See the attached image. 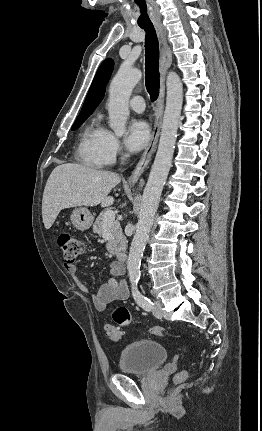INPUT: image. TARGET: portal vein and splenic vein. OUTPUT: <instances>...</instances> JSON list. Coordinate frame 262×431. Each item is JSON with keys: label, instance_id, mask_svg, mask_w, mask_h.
Returning a JSON list of instances; mask_svg holds the SVG:
<instances>
[{"label": "portal vein and splenic vein", "instance_id": "18ae733b", "mask_svg": "<svg viewBox=\"0 0 262 431\" xmlns=\"http://www.w3.org/2000/svg\"><path fill=\"white\" fill-rule=\"evenodd\" d=\"M115 220V213L111 210L104 214V225L111 224Z\"/></svg>", "mask_w": 262, "mask_h": 431}]
</instances>
